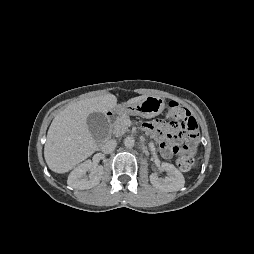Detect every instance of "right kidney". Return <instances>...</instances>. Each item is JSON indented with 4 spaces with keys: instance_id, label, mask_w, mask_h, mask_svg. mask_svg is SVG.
I'll use <instances>...</instances> for the list:
<instances>
[{
    "instance_id": "right-kidney-1",
    "label": "right kidney",
    "mask_w": 254,
    "mask_h": 254,
    "mask_svg": "<svg viewBox=\"0 0 254 254\" xmlns=\"http://www.w3.org/2000/svg\"><path fill=\"white\" fill-rule=\"evenodd\" d=\"M88 171L91 173L89 177L86 175ZM102 174L103 166H96L90 160H87L70 173L67 183L74 189H90L99 184Z\"/></svg>"
}]
</instances>
